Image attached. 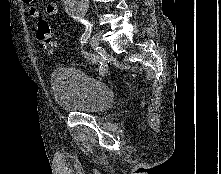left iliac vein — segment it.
Instances as JSON below:
<instances>
[{
  "instance_id": "4c4485c4",
  "label": "left iliac vein",
  "mask_w": 221,
  "mask_h": 174,
  "mask_svg": "<svg viewBox=\"0 0 221 174\" xmlns=\"http://www.w3.org/2000/svg\"><path fill=\"white\" fill-rule=\"evenodd\" d=\"M90 45L95 51L99 48V36L97 34L93 35L90 39Z\"/></svg>"
}]
</instances>
